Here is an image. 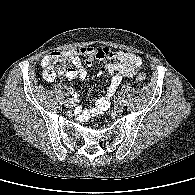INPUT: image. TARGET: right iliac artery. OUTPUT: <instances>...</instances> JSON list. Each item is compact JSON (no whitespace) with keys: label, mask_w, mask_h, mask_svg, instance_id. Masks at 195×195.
<instances>
[{"label":"right iliac artery","mask_w":195,"mask_h":195,"mask_svg":"<svg viewBox=\"0 0 195 195\" xmlns=\"http://www.w3.org/2000/svg\"><path fill=\"white\" fill-rule=\"evenodd\" d=\"M70 94H72V93H70V92H67V93H66V96H70ZM73 96H74V95H73Z\"/></svg>","instance_id":"82829eb1"}]
</instances>
